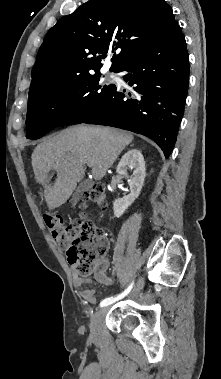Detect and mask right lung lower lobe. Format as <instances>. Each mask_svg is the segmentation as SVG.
<instances>
[{
  "label": "right lung lower lobe",
  "mask_w": 221,
  "mask_h": 379,
  "mask_svg": "<svg viewBox=\"0 0 221 379\" xmlns=\"http://www.w3.org/2000/svg\"><path fill=\"white\" fill-rule=\"evenodd\" d=\"M124 71L130 89L115 85L108 97L78 123L113 126L153 139L166 158L175 144L189 83V60L180 27L125 59L115 70Z\"/></svg>",
  "instance_id": "right-lung-lower-lobe-1"
}]
</instances>
